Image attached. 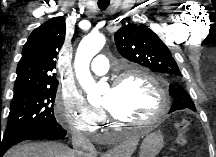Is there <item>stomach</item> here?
I'll use <instances>...</instances> for the list:
<instances>
[{
  "label": "stomach",
  "mask_w": 216,
  "mask_h": 157,
  "mask_svg": "<svg viewBox=\"0 0 216 157\" xmlns=\"http://www.w3.org/2000/svg\"><path fill=\"white\" fill-rule=\"evenodd\" d=\"M163 146V135L159 131L145 135L139 150L138 157H156Z\"/></svg>",
  "instance_id": "0dacf381"
}]
</instances>
